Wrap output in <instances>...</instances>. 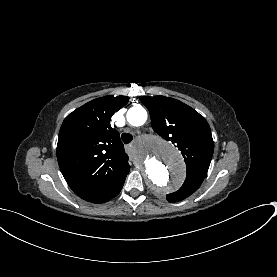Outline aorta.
<instances>
[{
	"instance_id": "762f6f07",
	"label": "aorta",
	"mask_w": 277,
	"mask_h": 277,
	"mask_svg": "<svg viewBox=\"0 0 277 277\" xmlns=\"http://www.w3.org/2000/svg\"><path fill=\"white\" fill-rule=\"evenodd\" d=\"M127 121L132 126H141L147 120L142 106L132 107L127 112ZM134 162L144 175L155 195L162 196L179 186L185 177V164L176 147L155 135L143 136L136 146Z\"/></svg>"
}]
</instances>
